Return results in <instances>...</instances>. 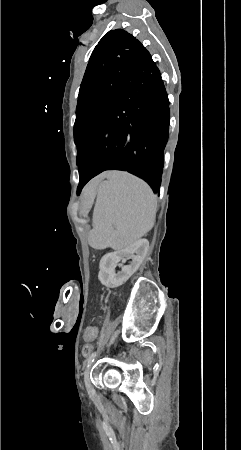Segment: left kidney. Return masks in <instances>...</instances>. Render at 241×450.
<instances>
[{
	"label": "left kidney",
	"mask_w": 241,
	"mask_h": 450,
	"mask_svg": "<svg viewBox=\"0 0 241 450\" xmlns=\"http://www.w3.org/2000/svg\"><path fill=\"white\" fill-rule=\"evenodd\" d=\"M148 248V240H137V242H134V244H131L125 250L105 254L99 264L100 272L98 278L101 284L107 286V288H118V286H122L134 272H137L148 252ZM126 260H132V262H129V266H123ZM119 262H122V264H119ZM116 266H120L121 268L119 274H115Z\"/></svg>",
	"instance_id": "1"
}]
</instances>
